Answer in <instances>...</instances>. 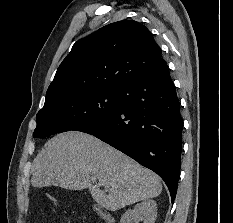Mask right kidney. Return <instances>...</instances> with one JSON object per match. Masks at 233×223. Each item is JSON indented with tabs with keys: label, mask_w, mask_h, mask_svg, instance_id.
<instances>
[{
	"label": "right kidney",
	"mask_w": 233,
	"mask_h": 223,
	"mask_svg": "<svg viewBox=\"0 0 233 223\" xmlns=\"http://www.w3.org/2000/svg\"><path fill=\"white\" fill-rule=\"evenodd\" d=\"M157 217V203L155 199H144L140 203H136L134 209H127L123 213L120 223H133L140 221L143 223H155Z\"/></svg>",
	"instance_id": "ca27d5eb"
}]
</instances>
